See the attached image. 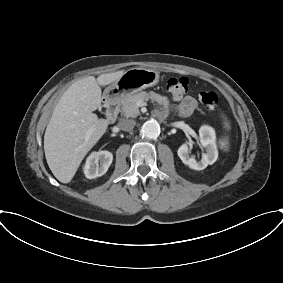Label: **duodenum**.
Instances as JSON below:
<instances>
[{
	"label": "duodenum",
	"instance_id": "duodenum-1",
	"mask_svg": "<svg viewBox=\"0 0 283 283\" xmlns=\"http://www.w3.org/2000/svg\"><path fill=\"white\" fill-rule=\"evenodd\" d=\"M118 103L119 96L116 94L110 95L105 100V105L107 106L106 118L109 122H114L118 116Z\"/></svg>",
	"mask_w": 283,
	"mask_h": 283
}]
</instances>
